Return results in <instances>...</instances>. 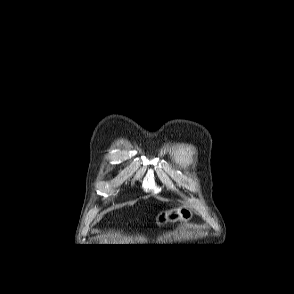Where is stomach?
Listing matches in <instances>:
<instances>
[{
	"mask_svg": "<svg viewBox=\"0 0 294 294\" xmlns=\"http://www.w3.org/2000/svg\"><path fill=\"white\" fill-rule=\"evenodd\" d=\"M191 216L192 214L188 209L177 207L160 212L156 217V223L161 225L167 222L186 221Z\"/></svg>",
	"mask_w": 294,
	"mask_h": 294,
	"instance_id": "1",
	"label": "stomach"
}]
</instances>
